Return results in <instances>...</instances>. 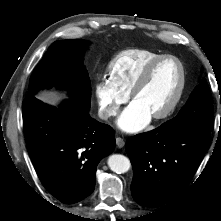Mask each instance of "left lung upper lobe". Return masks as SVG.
<instances>
[{
  "label": "left lung upper lobe",
  "mask_w": 221,
  "mask_h": 221,
  "mask_svg": "<svg viewBox=\"0 0 221 221\" xmlns=\"http://www.w3.org/2000/svg\"><path fill=\"white\" fill-rule=\"evenodd\" d=\"M165 125L172 129L213 130L212 97L204 78L179 114Z\"/></svg>",
  "instance_id": "left-lung-upper-lobe-1"
}]
</instances>
